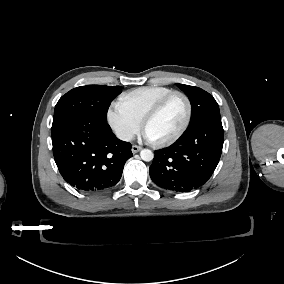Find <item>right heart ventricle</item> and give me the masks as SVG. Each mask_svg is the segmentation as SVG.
<instances>
[{"label":"right heart ventricle","mask_w":284,"mask_h":284,"mask_svg":"<svg viewBox=\"0 0 284 284\" xmlns=\"http://www.w3.org/2000/svg\"><path fill=\"white\" fill-rule=\"evenodd\" d=\"M173 92V89L164 86H141L121 94L118 105L142 121L154 105Z\"/></svg>","instance_id":"e07e8e85"}]
</instances>
